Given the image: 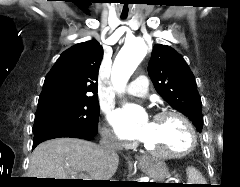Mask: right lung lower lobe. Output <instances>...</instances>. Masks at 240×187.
Instances as JSON below:
<instances>
[{
  "label": "right lung lower lobe",
  "instance_id": "right-lung-lower-lobe-1",
  "mask_svg": "<svg viewBox=\"0 0 240 187\" xmlns=\"http://www.w3.org/2000/svg\"><path fill=\"white\" fill-rule=\"evenodd\" d=\"M96 134L97 129L91 132H79L64 127H50L34 134L33 148L43 141L53 138L70 137L91 140Z\"/></svg>",
  "mask_w": 240,
  "mask_h": 187
}]
</instances>
